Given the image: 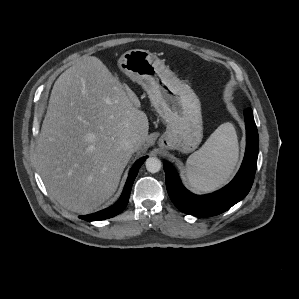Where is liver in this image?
<instances>
[{"label":"liver","instance_id":"6515ba94","mask_svg":"<svg viewBox=\"0 0 299 299\" xmlns=\"http://www.w3.org/2000/svg\"><path fill=\"white\" fill-rule=\"evenodd\" d=\"M136 94L103 62L83 56L54 83L36 146V165L50 195L87 214L116 191L132 154L148 137ZM135 139L133 152L121 148Z\"/></svg>","mask_w":299,"mask_h":299}]
</instances>
